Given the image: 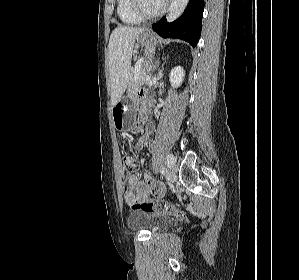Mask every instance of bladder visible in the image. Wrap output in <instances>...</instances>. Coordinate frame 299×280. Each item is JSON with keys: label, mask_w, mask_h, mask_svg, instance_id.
<instances>
[{"label": "bladder", "mask_w": 299, "mask_h": 280, "mask_svg": "<svg viewBox=\"0 0 299 280\" xmlns=\"http://www.w3.org/2000/svg\"><path fill=\"white\" fill-rule=\"evenodd\" d=\"M169 220L166 216L155 213L133 212L128 217V225L133 229H146L151 233L167 227Z\"/></svg>", "instance_id": "bladder-1"}]
</instances>
